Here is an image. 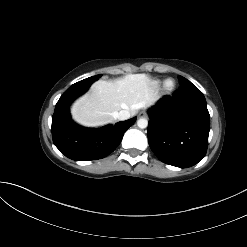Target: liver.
I'll list each match as a JSON object with an SVG mask.
<instances>
[{
	"label": "liver",
	"instance_id": "liver-1",
	"mask_svg": "<svg viewBox=\"0 0 247 247\" xmlns=\"http://www.w3.org/2000/svg\"><path fill=\"white\" fill-rule=\"evenodd\" d=\"M158 94L146 74H129L113 81L99 80L90 92L71 108L73 119L86 127H99L115 121L114 114L128 110L131 115L152 105Z\"/></svg>",
	"mask_w": 247,
	"mask_h": 247
}]
</instances>
